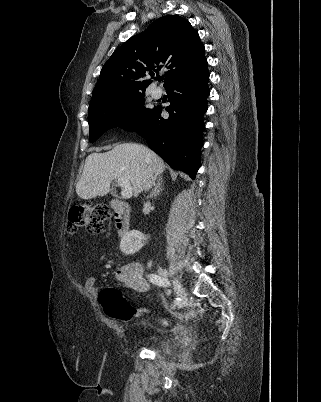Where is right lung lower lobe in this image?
Listing matches in <instances>:
<instances>
[{
    "label": "right lung lower lobe",
    "instance_id": "right-lung-lower-lobe-1",
    "mask_svg": "<svg viewBox=\"0 0 321 402\" xmlns=\"http://www.w3.org/2000/svg\"><path fill=\"white\" fill-rule=\"evenodd\" d=\"M208 80L207 64L176 78L165 87L169 118H162V107L157 106L138 123L124 128L144 137L170 167L186 172L192 179L200 166Z\"/></svg>",
    "mask_w": 321,
    "mask_h": 402
}]
</instances>
